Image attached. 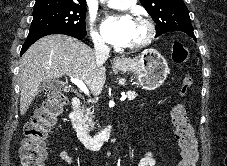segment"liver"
I'll list each match as a JSON object with an SVG mask.
<instances>
[{
  "label": "liver",
  "mask_w": 227,
  "mask_h": 166,
  "mask_svg": "<svg viewBox=\"0 0 227 166\" xmlns=\"http://www.w3.org/2000/svg\"><path fill=\"white\" fill-rule=\"evenodd\" d=\"M62 76L77 78L98 95L106 80L104 67H97L95 51L85 43L66 35H49L34 43L23 55L19 81L20 113L24 115L41 84Z\"/></svg>",
  "instance_id": "liver-1"
}]
</instances>
